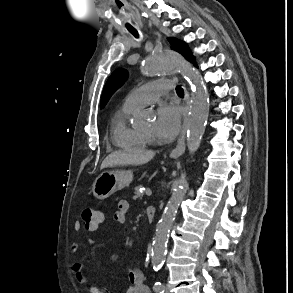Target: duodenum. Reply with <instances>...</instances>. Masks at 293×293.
<instances>
[{
	"mask_svg": "<svg viewBox=\"0 0 293 293\" xmlns=\"http://www.w3.org/2000/svg\"><path fill=\"white\" fill-rule=\"evenodd\" d=\"M156 209L154 206H148L146 208V217L149 223H152L155 218Z\"/></svg>",
	"mask_w": 293,
	"mask_h": 293,
	"instance_id": "duodenum-1",
	"label": "duodenum"
}]
</instances>
